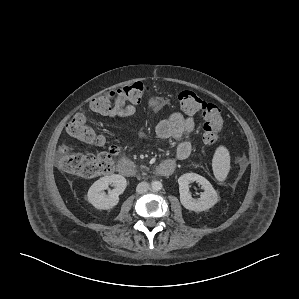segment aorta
Wrapping results in <instances>:
<instances>
[{"mask_svg": "<svg viewBox=\"0 0 299 299\" xmlns=\"http://www.w3.org/2000/svg\"><path fill=\"white\" fill-rule=\"evenodd\" d=\"M151 187L153 191H160L163 187L162 183L160 181H153L151 183Z\"/></svg>", "mask_w": 299, "mask_h": 299, "instance_id": "762f6f07", "label": "aorta"}]
</instances>
